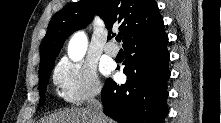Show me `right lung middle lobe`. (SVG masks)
Here are the masks:
<instances>
[{
    "mask_svg": "<svg viewBox=\"0 0 221 123\" xmlns=\"http://www.w3.org/2000/svg\"><path fill=\"white\" fill-rule=\"evenodd\" d=\"M53 66H54V61H52L45 68L39 70L40 105H42L45 102L46 85L48 84L49 76L53 69Z\"/></svg>",
    "mask_w": 221,
    "mask_h": 123,
    "instance_id": "right-lung-middle-lobe-1",
    "label": "right lung middle lobe"
}]
</instances>
